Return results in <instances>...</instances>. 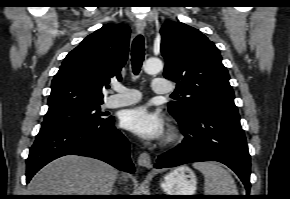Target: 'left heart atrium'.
Here are the masks:
<instances>
[{
  "label": "left heart atrium",
  "instance_id": "left-heart-atrium-1",
  "mask_svg": "<svg viewBox=\"0 0 290 199\" xmlns=\"http://www.w3.org/2000/svg\"><path fill=\"white\" fill-rule=\"evenodd\" d=\"M121 125L144 140L160 139L165 129L163 116L147 106L126 110L121 116Z\"/></svg>",
  "mask_w": 290,
  "mask_h": 199
}]
</instances>
